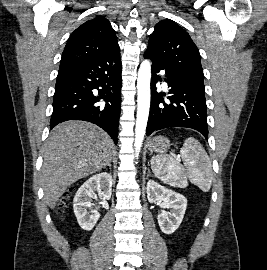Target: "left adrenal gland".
<instances>
[{"mask_svg":"<svg viewBox=\"0 0 267 270\" xmlns=\"http://www.w3.org/2000/svg\"><path fill=\"white\" fill-rule=\"evenodd\" d=\"M151 176V171L148 169L147 177Z\"/></svg>","mask_w":267,"mask_h":270,"instance_id":"left-adrenal-gland-1","label":"left adrenal gland"}]
</instances>
